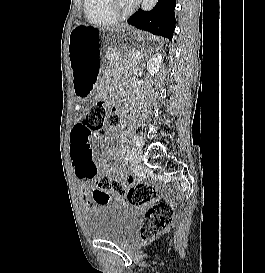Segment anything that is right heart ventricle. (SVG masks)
Segmentation results:
<instances>
[{
    "instance_id": "1",
    "label": "right heart ventricle",
    "mask_w": 265,
    "mask_h": 273,
    "mask_svg": "<svg viewBox=\"0 0 265 273\" xmlns=\"http://www.w3.org/2000/svg\"><path fill=\"white\" fill-rule=\"evenodd\" d=\"M84 15L94 25H108L117 21L107 12L104 0H84Z\"/></svg>"
}]
</instances>
